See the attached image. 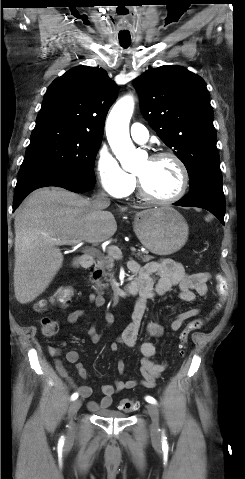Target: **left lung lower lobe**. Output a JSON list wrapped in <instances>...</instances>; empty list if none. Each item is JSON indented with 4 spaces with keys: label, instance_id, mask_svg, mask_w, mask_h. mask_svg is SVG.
<instances>
[{
    "label": "left lung lower lobe",
    "instance_id": "obj_1",
    "mask_svg": "<svg viewBox=\"0 0 245 479\" xmlns=\"http://www.w3.org/2000/svg\"><path fill=\"white\" fill-rule=\"evenodd\" d=\"M174 205L206 209L224 224L225 197L222 188L221 172L207 175L196 182L190 193L174 203Z\"/></svg>",
    "mask_w": 245,
    "mask_h": 479
}]
</instances>
